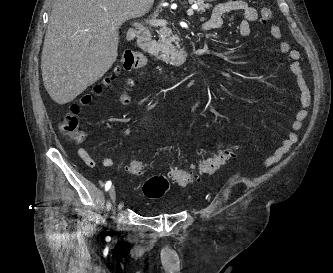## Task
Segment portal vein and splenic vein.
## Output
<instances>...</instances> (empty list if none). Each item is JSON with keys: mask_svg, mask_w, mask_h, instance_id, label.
Wrapping results in <instances>:
<instances>
[{"mask_svg": "<svg viewBox=\"0 0 333 273\" xmlns=\"http://www.w3.org/2000/svg\"><path fill=\"white\" fill-rule=\"evenodd\" d=\"M194 9H198L197 5H194L192 6L190 9L187 10V15L188 16H192L193 13H194ZM148 23L151 25V26H160V27H163L165 28L166 25H167V21L166 20H163V19H158V20H150L148 21Z\"/></svg>", "mask_w": 333, "mask_h": 273, "instance_id": "portal-vein-and-splenic-vein-1", "label": "portal vein and splenic vein"}]
</instances>
